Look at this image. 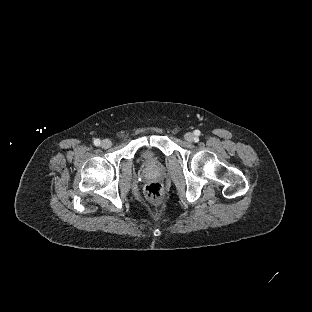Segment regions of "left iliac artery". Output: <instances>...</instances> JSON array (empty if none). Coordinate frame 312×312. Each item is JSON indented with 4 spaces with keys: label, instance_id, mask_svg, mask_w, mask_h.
<instances>
[{
    "label": "left iliac artery",
    "instance_id": "1",
    "mask_svg": "<svg viewBox=\"0 0 312 312\" xmlns=\"http://www.w3.org/2000/svg\"><path fill=\"white\" fill-rule=\"evenodd\" d=\"M195 134H196V135H199V134H200V131H199V130H195Z\"/></svg>",
    "mask_w": 312,
    "mask_h": 312
}]
</instances>
